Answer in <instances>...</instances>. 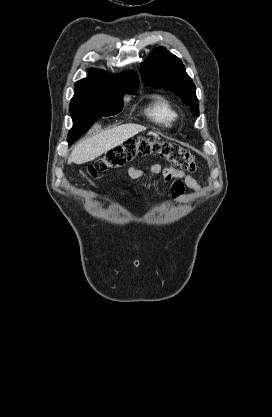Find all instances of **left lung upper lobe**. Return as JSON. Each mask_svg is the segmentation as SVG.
I'll use <instances>...</instances> for the list:
<instances>
[{
	"mask_svg": "<svg viewBox=\"0 0 272 417\" xmlns=\"http://www.w3.org/2000/svg\"><path fill=\"white\" fill-rule=\"evenodd\" d=\"M142 80L146 86L173 91L199 115V102L192 79L187 75L181 60L164 48H155L141 65Z\"/></svg>",
	"mask_w": 272,
	"mask_h": 417,
	"instance_id": "left-lung-upper-lobe-1",
	"label": "left lung upper lobe"
}]
</instances>
